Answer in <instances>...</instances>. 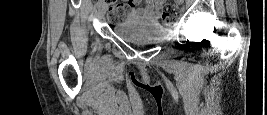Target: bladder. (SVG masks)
Returning <instances> with one entry per match:
<instances>
[{
    "instance_id": "31cf9c89",
    "label": "bladder",
    "mask_w": 267,
    "mask_h": 115,
    "mask_svg": "<svg viewBox=\"0 0 267 115\" xmlns=\"http://www.w3.org/2000/svg\"><path fill=\"white\" fill-rule=\"evenodd\" d=\"M114 33L132 43L159 41L168 36V30L157 21L127 20L113 27Z\"/></svg>"
}]
</instances>
